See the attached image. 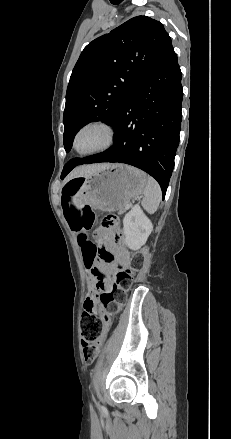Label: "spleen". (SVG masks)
<instances>
[{
	"mask_svg": "<svg viewBox=\"0 0 231 439\" xmlns=\"http://www.w3.org/2000/svg\"><path fill=\"white\" fill-rule=\"evenodd\" d=\"M162 197L159 184L155 179L148 176L147 185L143 191L141 205L147 213L153 214L158 209Z\"/></svg>",
	"mask_w": 231,
	"mask_h": 439,
	"instance_id": "obj_1",
	"label": "spleen"
}]
</instances>
